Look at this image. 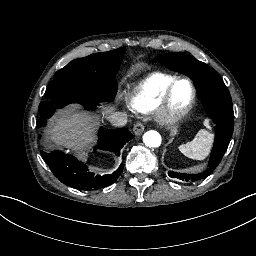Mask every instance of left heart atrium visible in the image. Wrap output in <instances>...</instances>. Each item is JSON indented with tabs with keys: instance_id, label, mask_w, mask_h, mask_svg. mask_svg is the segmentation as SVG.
Listing matches in <instances>:
<instances>
[{
	"instance_id": "left-heart-atrium-1",
	"label": "left heart atrium",
	"mask_w": 256,
	"mask_h": 256,
	"mask_svg": "<svg viewBox=\"0 0 256 256\" xmlns=\"http://www.w3.org/2000/svg\"><path fill=\"white\" fill-rule=\"evenodd\" d=\"M153 119H154L155 121L159 122V123H162V120H161L160 117L157 116V115L153 116Z\"/></svg>"
}]
</instances>
